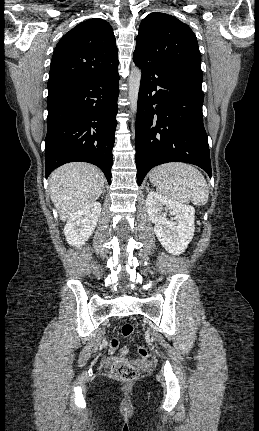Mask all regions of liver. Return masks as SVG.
Instances as JSON below:
<instances>
[{
  "mask_svg": "<svg viewBox=\"0 0 259 431\" xmlns=\"http://www.w3.org/2000/svg\"><path fill=\"white\" fill-rule=\"evenodd\" d=\"M105 178L96 166L68 163L52 172L49 178L51 200L62 221L93 203L104 190Z\"/></svg>",
  "mask_w": 259,
  "mask_h": 431,
  "instance_id": "1",
  "label": "liver"
}]
</instances>
